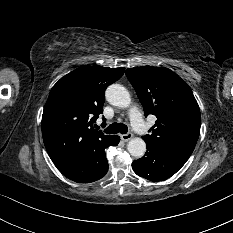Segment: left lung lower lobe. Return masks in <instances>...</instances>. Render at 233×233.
<instances>
[{"mask_svg": "<svg viewBox=\"0 0 233 233\" xmlns=\"http://www.w3.org/2000/svg\"><path fill=\"white\" fill-rule=\"evenodd\" d=\"M145 156L132 162L134 172L151 181H163L174 175L188 160L191 152L147 143Z\"/></svg>", "mask_w": 233, "mask_h": 233, "instance_id": "left-lung-lower-lobe-1", "label": "left lung lower lobe"}]
</instances>
